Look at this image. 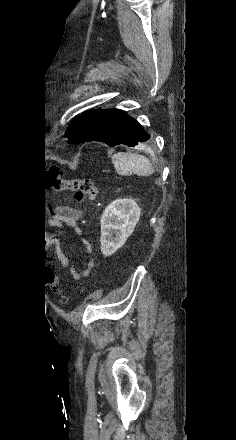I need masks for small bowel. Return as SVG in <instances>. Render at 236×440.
<instances>
[{
  "mask_svg": "<svg viewBox=\"0 0 236 440\" xmlns=\"http://www.w3.org/2000/svg\"><path fill=\"white\" fill-rule=\"evenodd\" d=\"M81 211L78 209L64 207L61 208L57 214L51 219L50 224L60 229L64 224L73 228L77 235H81V229L78 226V221L81 217ZM84 251L86 253L85 263L82 269H78L76 267H72L70 269L71 275L74 280H80L84 277L89 276L94 270L95 262L93 258L90 256L91 253V245L83 240ZM62 267L65 269L68 265V260L64 255L59 256Z\"/></svg>",
  "mask_w": 236,
  "mask_h": 440,
  "instance_id": "small-bowel-1",
  "label": "small bowel"
}]
</instances>
